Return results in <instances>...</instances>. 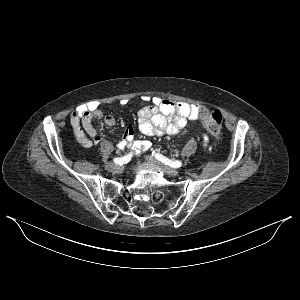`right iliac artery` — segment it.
<instances>
[{"label": "right iliac artery", "mask_w": 300, "mask_h": 300, "mask_svg": "<svg viewBox=\"0 0 300 300\" xmlns=\"http://www.w3.org/2000/svg\"><path fill=\"white\" fill-rule=\"evenodd\" d=\"M131 158H132V153H129V154L123 156V157L114 158L113 161L116 165H123L125 163H128L131 160Z\"/></svg>", "instance_id": "82829eb1"}]
</instances>
